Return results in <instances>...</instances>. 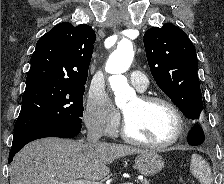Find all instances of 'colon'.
<instances>
[{
	"mask_svg": "<svg viewBox=\"0 0 224 184\" xmlns=\"http://www.w3.org/2000/svg\"><path fill=\"white\" fill-rule=\"evenodd\" d=\"M180 184H191L187 179H181Z\"/></svg>",
	"mask_w": 224,
	"mask_h": 184,
	"instance_id": "colon-1",
	"label": "colon"
}]
</instances>
